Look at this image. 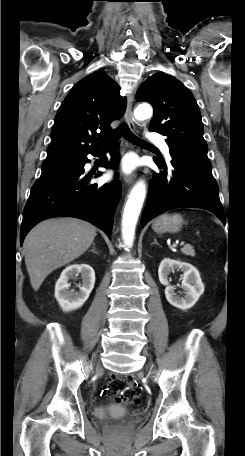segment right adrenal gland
Segmentation results:
<instances>
[{"instance_id": "obj_1", "label": "right adrenal gland", "mask_w": 245, "mask_h": 456, "mask_svg": "<svg viewBox=\"0 0 245 456\" xmlns=\"http://www.w3.org/2000/svg\"><path fill=\"white\" fill-rule=\"evenodd\" d=\"M90 251L95 254H98V252L96 251V248H95V243H93L92 249Z\"/></svg>"}]
</instances>
